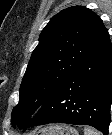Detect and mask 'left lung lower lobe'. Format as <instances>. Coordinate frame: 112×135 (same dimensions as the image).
<instances>
[{
    "mask_svg": "<svg viewBox=\"0 0 112 135\" xmlns=\"http://www.w3.org/2000/svg\"><path fill=\"white\" fill-rule=\"evenodd\" d=\"M112 103V44L108 32L24 126L89 125L108 135Z\"/></svg>",
    "mask_w": 112,
    "mask_h": 135,
    "instance_id": "0a47b994",
    "label": "left lung lower lobe"
}]
</instances>
